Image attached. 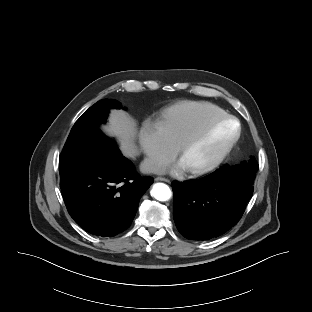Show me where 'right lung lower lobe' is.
Wrapping results in <instances>:
<instances>
[{
  "mask_svg": "<svg viewBox=\"0 0 312 312\" xmlns=\"http://www.w3.org/2000/svg\"><path fill=\"white\" fill-rule=\"evenodd\" d=\"M152 183V177H140L132 162L114 148L60 181V187L66 208L79 226L91 234L111 237L131 225L139 200Z\"/></svg>",
  "mask_w": 312,
  "mask_h": 312,
  "instance_id": "obj_1",
  "label": "right lung lower lobe"
}]
</instances>
